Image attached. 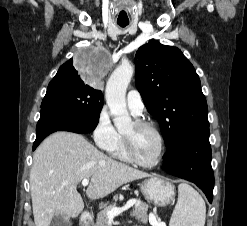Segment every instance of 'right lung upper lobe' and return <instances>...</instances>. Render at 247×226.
Masks as SVG:
<instances>
[{"label":"right lung upper lobe","instance_id":"cb5924a9","mask_svg":"<svg viewBox=\"0 0 247 226\" xmlns=\"http://www.w3.org/2000/svg\"><path fill=\"white\" fill-rule=\"evenodd\" d=\"M68 69H73V61L72 59L68 60L67 62H65L60 68L59 71L57 73H62Z\"/></svg>","mask_w":247,"mask_h":226}]
</instances>
